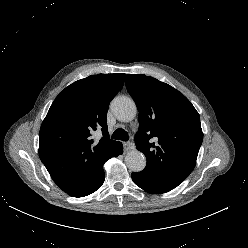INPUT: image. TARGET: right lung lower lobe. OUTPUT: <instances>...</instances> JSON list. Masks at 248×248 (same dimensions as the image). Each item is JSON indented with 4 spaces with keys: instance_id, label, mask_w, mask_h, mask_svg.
<instances>
[{
    "instance_id": "98d812e1",
    "label": "right lung lower lobe",
    "mask_w": 248,
    "mask_h": 248,
    "mask_svg": "<svg viewBox=\"0 0 248 248\" xmlns=\"http://www.w3.org/2000/svg\"><path fill=\"white\" fill-rule=\"evenodd\" d=\"M123 153V146L121 142H118L116 147L113 149L111 157H117L118 155ZM105 174L104 170L101 172V174L98 176V178L86 189L82 190L81 192H78L75 195H72L73 197H83L87 196L93 192H95L104 182Z\"/></svg>"
}]
</instances>
